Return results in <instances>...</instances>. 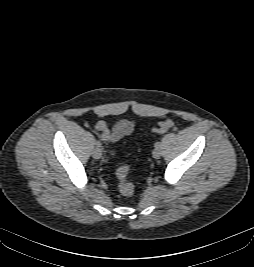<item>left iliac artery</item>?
<instances>
[{"label": "left iliac artery", "mask_w": 254, "mask_h": 267, "mask_svg": "<svg viewBox=\"0 0 254 267\" xmlns=\"http://www.w3.org/2000/svg\"><path fill=\"white\" fill-rule=\"evenodd\" d=\"M160 144H161L160 142H156V143H155V147H159Z\"/></svg>", "instance_id": "44dca946"}]
</instances>
